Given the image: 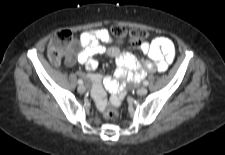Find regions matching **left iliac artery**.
Returning a JSON list of instances; mask_svg holds the SVG:
<instances>
[{"label": "left iliac artery", "mask_w": 225, "mask_h": 155, "mask_svg": "<svg viewBox=\"0 0 225 155\" xmlns=\"http://www.w3.org/2000/svg\"><path fill=\"white\" fill-rule=\"evenodd\" d=\"M143 85L147 86L148 85V81L147 80L143 81Z\"/></svg>", "instance_id": "obj_1"}]
</instances>
